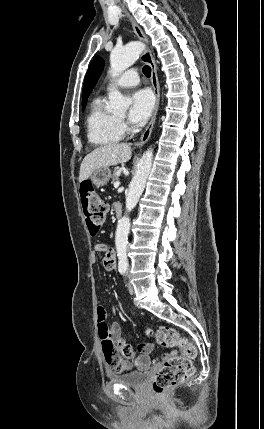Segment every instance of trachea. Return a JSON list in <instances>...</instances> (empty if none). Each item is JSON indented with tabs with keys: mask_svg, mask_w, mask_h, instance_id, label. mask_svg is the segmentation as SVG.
Wrapping results in <instances>:
<instances>
[{
	"mask_svg": "<svg viewBox=\"0 0 264 429\" xmlns=\"http://www.w3.org/2000/svg\"><path fill=\"white\" fill-rule=\"evenodd\" d=\"M143 73L146 77H150L151 76V68L148 65H145L143 67Z\"/></svg>",
	"mask_w": 264,
	"mask_h": 429,
	"instance_id": "obj_1",
	"label": "trachea"
}]
</instances>
